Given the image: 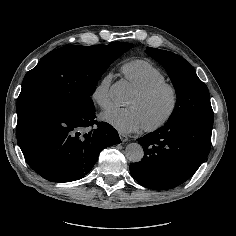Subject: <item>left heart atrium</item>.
Segmentation results:
<instances>
[{
  "mask_svg": "<svg viewBox=\"0 0 236 236\" xmlns=\"http://www.w3.org/2000/svg\"><path fill=\"white\" fill-rule=\"evenodd\" d=\"M102 120L121 133H130L144 127L139 111L134 107H112L102 114Z\"/></svg>",
  "mask_w": 236,
  "mask_h": 236,
  "instance_id": "1",
  "label": "left heart atrium"
}]
</instances>
